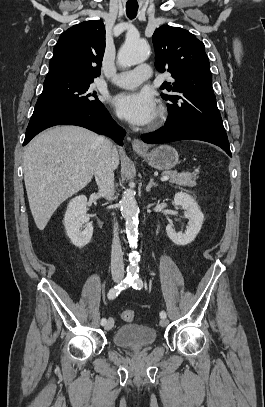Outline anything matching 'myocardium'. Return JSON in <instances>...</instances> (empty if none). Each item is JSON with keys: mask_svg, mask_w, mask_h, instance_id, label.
Returning <instances> with one entry per match:
<instances>
[{"mask_svg": "<svg viewBox=\"0 0 265 407\" xmlns=\"http://www.w3.org/2000/svg\"><path fill=\"white\" fill-rule=\"evenodd\" d=\"M165 116H166L165 108L163 106H159L156 116L148 128L155 129L158 126H160L162 124V122L165 120Z\"/></svg>", "mask_w": 265, "mask_h": 407, "instance_id": "obj_1", "label": "myocardium"}]
</instances>
